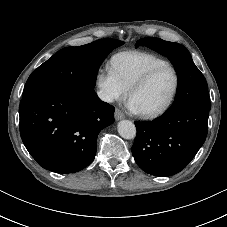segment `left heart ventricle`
Wrapping results in <instances>:
<instances>
[{"mask_svg": "<svg viewBox=\"0 0 227 227\" xmlns=\"http://www.w3.org/2000/svg\"><path fill=\"white\" fill-rule=\"evenodd\" d=\"M175 85L172 70L166 68L155 74L152 79L131 97L138 111H152L161 107L170 97Z\"/></svg>", "mask_w": 227, "mask_h": 227, "instance_id": "left-heart-ventricle-1", "label": "left heart ventricle"}]
</instances>
